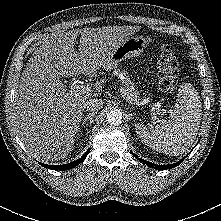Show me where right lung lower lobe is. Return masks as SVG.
Listing matches in <instances>:
<instances>
[{"instance_id": "obj_1", "label": "right lung lower lobe", "mask_w": 221, "mask_h": 221, "mask_svg": "<svg viewBox=\"0 0 221 221\" xmlns=\"http://www.w3.org/2000/svg\"><path fill=\"white\" fill-rule=\"evenodd\" d=\"M87 155H88V151L81 158L77 159L76 161L68 163V164H63V165H48V164H43V163H40V164L45 168H49V169H53V170H59V171L68 170V169H72V168L76 167L77 165H79L80 163H82Z\"/></svg>"}]
</instances>
